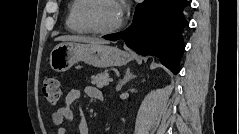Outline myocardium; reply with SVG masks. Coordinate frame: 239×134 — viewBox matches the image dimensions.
Instances as JSON below:
<instances>
[{"mask_svg":"<svg viewBox=\"0 0 239 134\" xmlns=\"http://www.w3.org/2000/svg\"><path fill=\"white\" fill-rule=\"evenodd\" d=\"M99 1L101 0H86L81 11V21L83 25L89 32L97 35L110 34L120 29L123 24L122 18H120V20L115 25L106 29L99 28L94 24L92 20V10L95 7L96 3Z\"/></svg>","mask_w":239,"mask_h":134,"instance_id":"f54148a6","label":"myocardium"}]
</instances>
